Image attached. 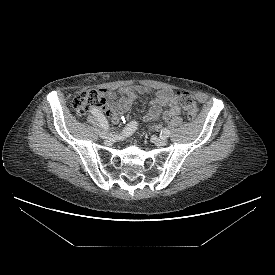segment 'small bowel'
<instances>
[{
  "label": "small bowel",
  "mask_w": 275,
  "mask_h": 275,
  "mask_svg": "<svg viewBox=\"0 0 275 275\" xmlns=\"http://www.w3.org/2000/svg\"><path fill=\"white\" fill-rule=\"evenodd\" d=\"M101 91L107 98V106L104 111L114 123H118L122 115L130 109L136 98L143 94L153 96L144 115L146 122H155L160 119L168 121L181 114L179 99L171 89L152 91L147 87L136 85L120 87L117 92L110 89ZM117 95L120 96L119 99H117Z\"/></svg>",
  "instance_id": "small-bowel-1"
}]
</instances>
